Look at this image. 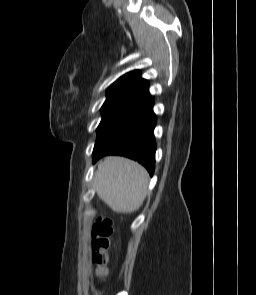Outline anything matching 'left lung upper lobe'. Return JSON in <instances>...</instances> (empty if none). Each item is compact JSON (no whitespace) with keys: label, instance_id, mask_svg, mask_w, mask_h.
I'll list each match as a JSON object with an SVG mask.
<instances>
[{"label":"left lung upper lobe","instance_id":"5c2ea615","mask_svg":"<svg viewBox=\"0 0 256 295\" xmlns=\"http://www.w3.org/2000/svg\"><path fill=\"white\" fill-rule=\"evenodd\" d=\"M149 83L134 70L121 76L107 91L101 113L102 120L97 128V140L113 130L130 115L153 101L148 91Z\"/></svg>","mask_w":256,"mask_h":295}]
</instances>
